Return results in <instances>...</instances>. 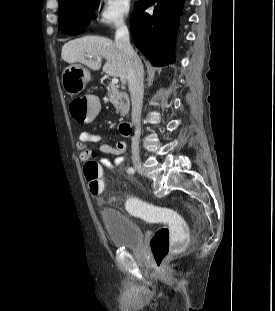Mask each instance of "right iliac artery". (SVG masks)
Here are the masks:
<instances>
[{
    "mask_svg": "<svg viewBox=\"0 0 275 311\" xmlns=\"http://www.w3.org/2000/svg\"><path fill=\"white\" fill-rule=\"evenodd\" d=\"M127 172H128L129 174H134L135 169L132 168V167H130V168H128Z\"/></svg>",
    "mask_w": 275,
    "mask_h": 311,
    "instance_id": "82829eb1",
    "label": "right iliac artery"
}]
</instances>
